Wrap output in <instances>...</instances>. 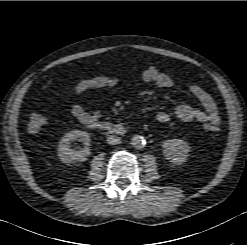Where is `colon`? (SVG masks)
I'll return each mask as SVG.
<instances>
[{
    "label": "colon",
    "instance_id": "1",
    "mask_svg": "<svg viewBox=\"0 0 247 245\" xmlns=\"http://www.w3.org/2000/svg\"><path fill=\"white\" fill-rule=\"evenodd\" d=\"M109 77L107 75H98L92 78H89L87 80H83L76 84L72 90L76 87H79L85 91L91 90V89H97V88H105L108 85ZM46 123V116L41 113H33L30 116L29 123H28V130L31 133H37L39 132ZM203 128L210 132H218L219 128L217 126H214L210 123H203Z\"/></svg>",
    "mask_w": 247,
    "mask_h": 245
}]
</instances>
